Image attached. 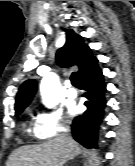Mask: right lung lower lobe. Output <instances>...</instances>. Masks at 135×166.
Instances as JSON below:
<instances>
[{
  "label": "right lung lower lobe",
  "mask_w": 135,
  "mask_h": 166,
  "mask_svg": "<svg viewBox=\"0 0 135 166\" xmlns=\"http://www.w3.org/2000/svg\"><path fill=\"white\" fill-rule=\"evenodd\" d=\"M84 89L82 97L87 110L73 120L71 125L73 138L87 148L97 147L98 126L103 119L106 101V84L98 60L79 74Z\"/></svg>",
  "instance_id": "98d812e1"
}]
</instances>
